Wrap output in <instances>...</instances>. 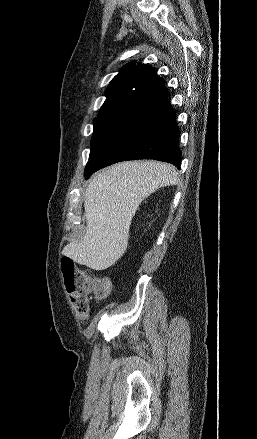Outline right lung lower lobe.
Returning <instances> with one entry per match:
<instances>
[{"label": "right lung lower lobe", "instance_id": "obj_1", "mask_svg": "<svg viewBox=\"0 0 257 439\" xmlns=\"http://www.w3.org/2000/svg\"><path fill=\"white\" fill-rule=\"evenodd\" d=\"M169 96L126 120L88 161L84 177L116 162L154 159L180 168L179 128Z\"/></svg>", "mask_w": 257, "mask_h": 439}]
</instances>
